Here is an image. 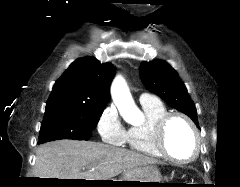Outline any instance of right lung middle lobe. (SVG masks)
Returning a JSON list of instances; mask_svg holds the SVG:
<instances>
[{
	"instance_id": "1",
	"label": "right lung middle lobe",
	"mask_w": 240,
	"mask_h": 187,
	"mask_svg": "<svg viewBox=\"0 0 240 187\" xmlns=\"http://www.w3.org/2000/svg\"><path fill=\"white\" fill-rule=\"evenodd\" d=\"M103 108L81 105H57L46 108L39 143L59 139L88 140Z\"/></svg>"
}]
</instances>
